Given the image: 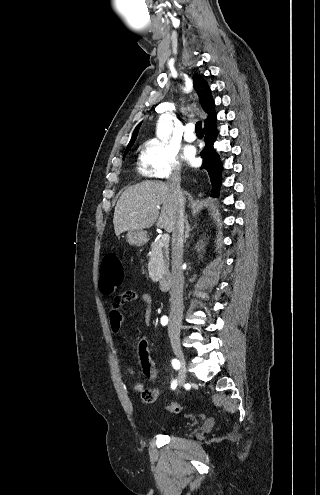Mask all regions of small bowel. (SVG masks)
<instances>
[{"label":"small bowel","mask_w":320,"mask_h":495,"mask_svg":"<svg viewBox=\"0 0 320 495\" xmlns=\"http://www.w3.org/2000/svg\"><path fill=\"white\" fill-rule=\"evenodd\" d=\"M139 302L145 305V321L148 324L151 320L152 316V297L150 294L145 292H137L133 290H129L124 292L122 295L116 297L112 302L110 312H109V323L110 327L114 332H119L123 323L124 314H123V306L126 303ZM143 368L144 372L147 376L153 378L155 376V370L151 366L146 367L144 363ZM127 372L129 374H133L134 371L132 368H127ZM134 390L137 392H142L144 390V386L140 382H136L134 384Z\"/></svg>","instance_id":"obj_1"}]
</instances>
